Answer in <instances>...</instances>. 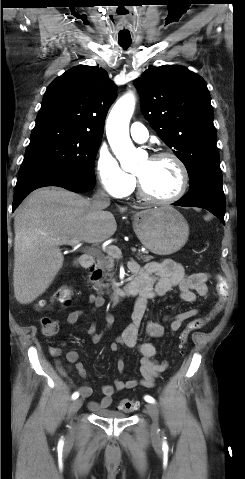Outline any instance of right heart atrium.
Segmentation results:
<instances>
[{
    "mask_svg": "<svg viewBox=\"0 0 245 479\" xmlns=\"http://www.w3.org/2000/svg\"><path fill=\"white\" fill-rule=\"evenodd\" d=\"M96 171L102 188L112 197H124L132 188V176L122 170L115 156L106 147H101L98 152Z\"/></svg>",
    "mask_w": 245,
    "mask_h": 479,
    "instance_id": "obj_1",
    "label": "right heart atrium"
}]
</instances>
